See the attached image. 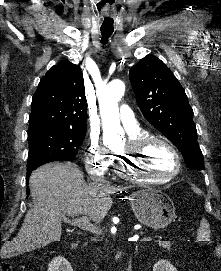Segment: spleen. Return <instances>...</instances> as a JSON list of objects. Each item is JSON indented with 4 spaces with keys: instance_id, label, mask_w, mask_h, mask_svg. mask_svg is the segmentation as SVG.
<instances>
[{
    "instance_id": "1",
    "label": "spleen",
    "mask_w": 221,
    "mask_h": 271,
    "mask_svg": "<svg viewBox=\"0 0 221 271\" xmlns=\"http://www.w3.org/2000/svg\"><path fill=\"white\" fill-rule=\"evenodd\" d=\"M197 239L198 241H209L210 239V227L205 217L200 221V227L197 231Z\"/></svg>"
}]
</instances>
